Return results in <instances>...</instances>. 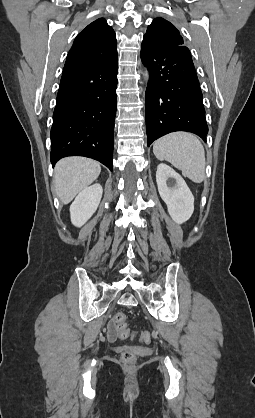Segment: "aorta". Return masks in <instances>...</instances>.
<instances>
[{
	"label": "aorta",
	"mask_w": 255,
	"mask_h": 418,
	"mask_svg": "<svg viewBox=\"0 0 255 418\" xmlns=\"http://www.w3.org/2000/svg\"><path fill=\"white\" fill-rule=\"evenodd\" d=\"M146 76L148 77V73L146 72Z\"/></svg>",
	"instance_id": "1"
}]
</instances>
